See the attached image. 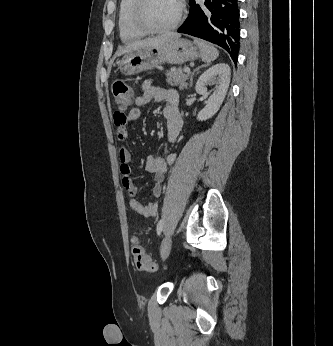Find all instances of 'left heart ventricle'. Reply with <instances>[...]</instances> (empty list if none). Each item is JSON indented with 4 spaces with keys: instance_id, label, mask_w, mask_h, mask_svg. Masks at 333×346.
<instances>
[{
    "instance_id": "left-heart-ventricle-1",
    "label": "left heart ventricle",
    "mask_w": 333,
    "mask_h": 346,
    "mask_svg": "<svg viewBox=\"0 0 333 346\" xmlns=\"http://www.w3.org/2000/svg\"><path fill=\"white\" fill-rule=\"evenodd\" d=\"M177 9V0H149L146 17L153 26L164 27L173 21Z\"/></svg>"
}]
</instances>
